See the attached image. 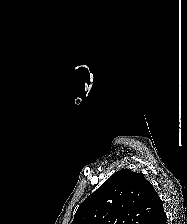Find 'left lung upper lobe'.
I'll list each match as a JSON object with an SVG mask.
<instances>
[{
	"label": "left lung upper lobe",
	"mask_w": 187,
	"mask_h": 224,
	"mask_svg": "<svg viewBox=\"0 0 187 224\" xmlns=\"http://www.w3.org/2000/svg\"><path fill=\"white\" fill-rule=\"evenodd\" d=\"M161 207L144 175L123 169L80 204L71 224H150Z\"/></svg>",
	"instance_id": "left-lung-upper-lobe-1"
}]
</instances>
